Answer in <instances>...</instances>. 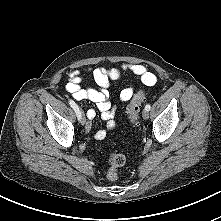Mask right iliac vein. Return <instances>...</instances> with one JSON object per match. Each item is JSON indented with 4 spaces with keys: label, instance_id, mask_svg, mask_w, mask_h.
Instances as JSON below:
<instances>
[{
    "label": "right iliac vein",
    "instance_id": "right-iliac-vein-1",
    "mask_svg": "<svg viewBox=\"0 0 221 221\" xmlns=\"http://www.w3.org/2000/svg\"><path fill=\"white\" fill-rule=\"evenodd\" d=\"M80 114H81V117H80V122H81V124H85V122H86V118H85V116H84V113H83V111L82 110H80Z\"/></svg>",
    "mask_w": 221,
    "mask_h": 221
}]
</instances>
